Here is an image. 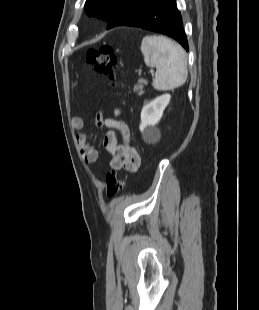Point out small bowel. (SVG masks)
Listing matches in <instances>:
<instances>
[{
    "mask_svg": "<svg viewBox=\"0 0 259 310\" xmlns=\"http://www.w3.org/2000/svg\"><path fill=\"white\" fill-rule=\"evenodd\" d=\"M119 115L120 111L116 110V116ZM95 123L97 127L108 129L103 138V145L111 155L109 166L114 170L126 169L130 172H135L140 166L141 158L131 144L128 126L117 118L104 119L102 113L97 114ZM71 126L74 131L78 132L76 135V144L82 158L89 163L96 162L99 157L98 152L91 146L87 135L80 132L84 127L82 118H72ZM116 130L121 133V143H118Z\"/></svg>",
    "mask_w": 259,
    "mask_h": 310,
    "instance_id": "small-bowel-1",
    "label": "small bowel"
}]
</instances>
